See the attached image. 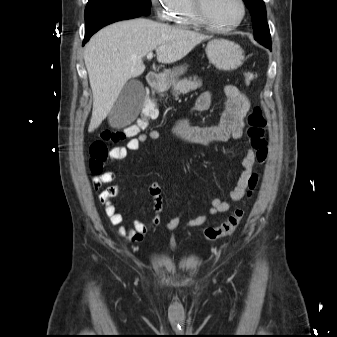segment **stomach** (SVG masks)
Returning a JSON list of instances; mask_svg holds the SVG:
<instances>
[{"label": "stomach", "mask_w": 337, "mask_h": 337, "mask_svg": "<svg viewBox=\"0 0 337 337\" xmlns=\"http://www.w3.org/2000/svg\"><path fill=\"white\" fill-rule=\"evenodd\" d=\"M206 54L209 61L216 68L224 71L235 70L244 61V51L234 42L224 39H214L207 44ZM186 67L181 66L173 70H168L163 74V79L170 82L183 75Z\"/></svg>", "instance_id": "0dacf381"}]
</instances>
